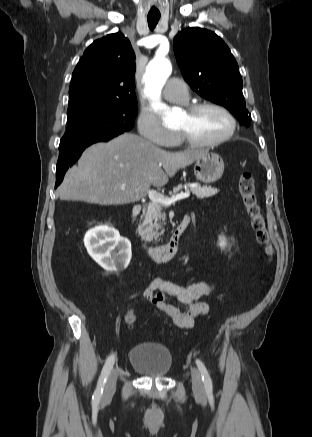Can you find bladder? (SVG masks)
Wrapping results in <instances>:
<instances>
[{
	"label": "bladder",
	"mask_w": 312,
	"mask_h": 437,
	"mask_svg": "<svg viewBox=\"0 0 312 437\" xmlns=\"http://www.w3.org/2000/svg\"><path fill=\"white\" fill-rule=\"evenodd\" d=\"M173 363L169 349L160 343L147 342L135 345L129 354L132 369L150 378H164L171 371Z\"/></svg>",
	"instance_id": "31cf9c89"
}]
</instances>
